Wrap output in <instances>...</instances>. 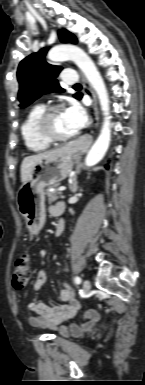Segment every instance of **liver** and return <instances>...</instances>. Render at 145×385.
<instances>
[{
  "label": "liver",
  "instance_id": "1",
  "mask_svg": "<svg viewBox=\"0 0 145 385\" xmlns=\"http://www.w3.org/2000/svg\"><path fill=\"white\" fill-rule=\"evenodd\" d=\"M50 151L39 153L36 155L25 157L21 164V182L26 183L36 163L45 157Z\"/></svg>",
  "mask_w": 145,
  "mask_h": 385
}]
</instances>
